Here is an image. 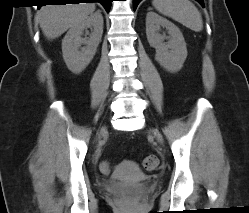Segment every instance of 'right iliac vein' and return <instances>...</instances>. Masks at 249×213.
Segmentation results:
<instances>
[{
    "label": "right iliac vein",
    "instance_id": "obj_1",
    "mask_svg": "<svg viewBox=\"0 0 249 213\" xmlns=\"http://www.w3.org/2000/svg\"><path fill=\"white\" fill-rule=\"evenodd\" d=\"M106 132V127H103L100 131V134L103 135Z\"/></svg>",
    "mask_w": 249,
    "mask_h": 213
}]
</instances>
